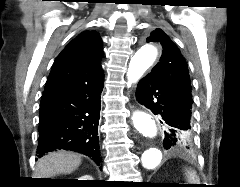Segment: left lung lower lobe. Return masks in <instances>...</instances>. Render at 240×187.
<instances>
[{
  "instance_id": "1",
  "label": "left lung lower lobe",
  "mask_w": 240,
  "mask_h": 187,
  "mask_svg": "<svg viewBox=\"0 0 240 187\" xmlns=\"http://www.w3.org/2000/svg\"><path fill=\"white\" fill-rule=\"evenodd\" d=\"M136 99L159 115L164 127V147L166 149H193L192 139H183L182 133L191 131L192 97L176 92L160 83L150 74L142 78L136 89Z\"/></svg>"
}]
</instances>
